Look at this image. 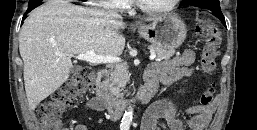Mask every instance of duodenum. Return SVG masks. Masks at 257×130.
<instances>
[{
  "instance_id": "duodenum-1",
  "label": "duodenum",
  "mask_w": 257,
  "mask_h": 130,
  "mask_svg": "<svg viewBox=\"0 0 257 130\" xmlns=\"http://www.w3.org/2000/svg\"><path fill=\"white\" fill-rule=\"evenodd\" d=\"M157 89L158 83L156 81H146L140 89L135 103L140 106L147 104L155 95ZM96 97L111 119L119 118L131 105V101L118 99L113 94L109 85L108 71L105 69L100 70L97 75Z\"/></svg>"
}]
</instances>
